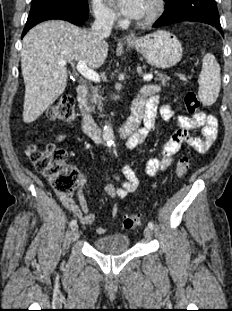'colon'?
Returning a JSON list of instances; mask_svg holds the SVG:
<instances>
[{"label":"colon","mask_w":232,"mask_h":311,"mask_svg":"<svg viewBox=\"0 0 232 311\" xmlns=\"http://www.w3.org/2000/svg\"><path fill=\"white\" fill-rule=\"evenodd\" d=\"M184 105L188 113L198 111L200 100L194 92L184 97ZM75 101L72 95L64 94L48 110L47 116L51 121L70 123L74 120ZM67 152L54 144H49L44 150L31 153V160L36 169L48 178L52 189L60 195L72 196L77 187L79 175L75 168L67 162ZM190 167L188 155L182 156L175 168V175L184 176ZM141 222L140 214H131L123 219V226L127 229L137 227Z\"/></svg>","instance_id":"colon-1"}]
</instances>
